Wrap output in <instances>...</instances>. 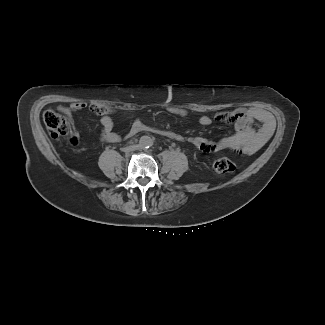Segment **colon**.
Masks as SVG:
<instances>
[{
  "label": "colon",
  "instance_id": "5ec220e1",
  "mask_svg": "<svg viewBox=\"0 0 325 325\" xmlns=\"http://www.w3.org/2000/svg\"><path fill=\"white\" fill-rule=\"evenodd\" d=\"M43 121L53 137L66 135L70 131V124L65 116L54 110L45 111L43 113ZM71 142L75 143L74 138L71 139ZM212 169L215 173L224 175L233 172L235 165L229 158L220 157L213 161Z\"/></svg>",
  "mask_w": 325,
  "mask_h": 325
}]
</instances>
